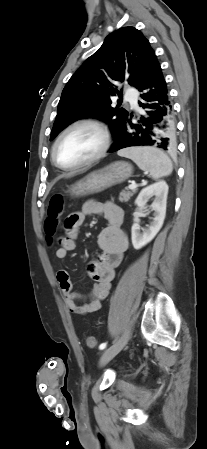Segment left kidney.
Instances as JSON below:
<instances>
[{"label": "left kidney", "mask_w": 207, "mask_h": 449, "mask_svg": "<svg viewBox=\"0 0 207 449\" xmlns=\"http://www.w3.org/2000/svg\"><path fill=\"white\" fill-rule=\"evenodd\" d=\"M168 195V185L165 181H158L141 190L135 204L137 209L134 214V224L132 226V244L136 250L141 249L148 244L162 228L165 215L166 203ZM154 197V202L151 205V210L154 211L153 221L147 229L140 233L139 214L146 208L147 201Z\"/></svg>", "instance_id": "obj_1"}]
</instances>
